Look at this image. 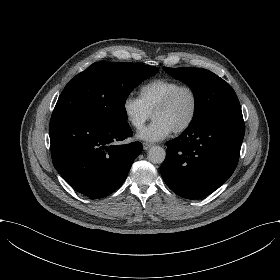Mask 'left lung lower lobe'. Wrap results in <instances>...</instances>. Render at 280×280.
I'll return each instance as SVG.
<instances>
[{"instance_id":"1","label":"left lung lower lobe","mask_w":280,"mask_h":280,"mask_svg":"<svg viewBox=\"0 0 280 280\" xmlns=\"http://www.w3.org/2000/svg\"><path fill=\"white\" fill-rule=\"evenodd\" d=\"M245 126L241 109L224 112L188 127L166 143L161 176L168 187L186 199L203 198L234 172Z\"/></svg>"}]
</instances>
